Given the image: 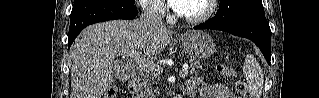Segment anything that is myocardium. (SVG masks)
Here are the masks:
<instances>
[{"label":"myocardium","mask_w":319,"mask_h":98,"mask_svg":"<svg viewBox=\"0 0 319 98\" xmlns=\"http://www.w3.org/2000/svg\"><path fill=\"white\" fill-rule=\"evenodd\" d=\"M205 2H206V7L202 13L196 16H187L183 14H178L179 19L189 24H200L207 21L214 13L217 1L205 0Z\"/></svg>","instance_id":"myocardium-1"}]
</instances>
